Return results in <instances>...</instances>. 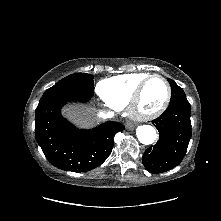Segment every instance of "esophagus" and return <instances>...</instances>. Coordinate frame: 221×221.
I'll return each mask as SVG.
<instances>
[{"label": "esophagus", "instance_id": "esophagus-1", "mask_svg": "<svg viewBox=\"0 0 221 221\" xmlns=\"http://www.w3.org/2000/svg\"><path fill=\"white\" fill-rule=\"evenodd\" d=\"M127 128H128L129 130H133V129L135 128V126L132 125V124H127Z\"/></svg>", "mask_w": 221, "mask_h": 221}]
</instances>
